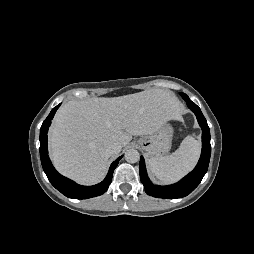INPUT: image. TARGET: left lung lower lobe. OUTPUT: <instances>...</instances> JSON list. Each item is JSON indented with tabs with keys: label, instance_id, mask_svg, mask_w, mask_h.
Instances as JSON below:
<instances>
[{
	"label": "left lung lower lobe",
	"instance_id": "obj_1",
	"mask_svg": "<svg viewBox=\"0 0 254 254\" xmlns=\"http://www.w3.org/2000/svg\"><path fill=\"white\" fill-rule=\"evenodd\" d=\"M188 107L195 113L198 123L202 129V152L198 164L192 172L181 179L179 182L168 186H156L151 183L147 176L144 158L141 156L139 164L140 180L145 187L148 195L156 198L176 199L190 194L201 182L207 172L210 155V130L205 117L200 108L191 100H186Z\"/></svg>",
	"mask_w": 254,
	"mask_h": 254
}]
</instances>
